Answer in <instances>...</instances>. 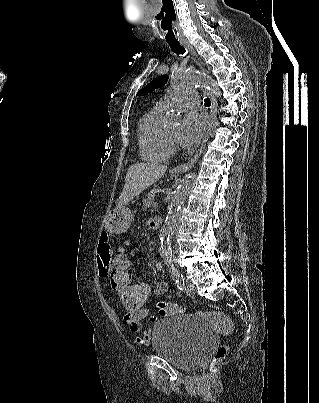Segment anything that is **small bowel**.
<instances>
[{"mask_svg":"<svg viewBox=\"0 0 319 403\" xmlns=\"http://www.w3.org/2000/svg\"><path fill=\"white\" fill-rule=\"evenodd\" d=\"M152 219L148 220V224L151 225ZM121 248L123 253H128L130 248V239L122 238L121 239ZM117 259V256L114 258ZM97 262L99 266V276H104V282L106 284H111L113 282V254L109 244L107 234H104L100 237L98 243V257ZM163 267L161 262L156 264V268L161 270ZM115 291V288L112 287ZM168 290V284L166 282H159L154 287L153 291H147V302L151 295L161 296L165 294ZM117 294V291H115ZM148 313V309H147ZM147 313H126L124 316L125 321L129 324L130 330L132 332H138L141 328V320L145 318Z\"/></svg>","mask_w":319,"mask_h":403,"instance_id":"small-bowel-1","label":"small bowel"}]
</instances>
